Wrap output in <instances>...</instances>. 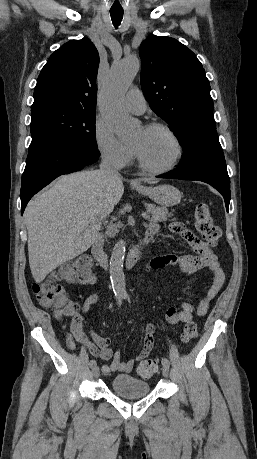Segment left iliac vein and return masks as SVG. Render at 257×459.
<instances>
[{
    "label": "left iliac vein",
    "instance_id": "obj_1",
    "mask_svg": "<svg viewBox=\"0 0 257 459\" xmlns=\"http://www.w3.org/2000/svg\"><path fill=\"white\" fill-rule=\"evenodd\" d=\"M162 374H163L164 377H168V374H169V367L168 366H163Z\"/></svg>",
    "mask_w": 257,
    "mask_h": 459
}]
</instances>
